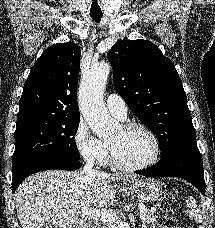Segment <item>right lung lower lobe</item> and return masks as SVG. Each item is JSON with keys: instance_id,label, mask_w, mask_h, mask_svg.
<instances>
[{"instance_id": "98d812e1", "label": "right lung lower lobe", "mask_w": 215, "mask_h": 228, "mask_svg": "<svg viewBox=\"0 0 215 228\" xmlns=\"http://www.w3.org/2000/svg\"><path fill=\"white\" fill-rule=\"evenodd\" d=\"M81 167L79 160L65 159L58 157H37L25 160L13 165L12 168V192H14L19 184L29 175L50 169L76 170Z\"/></svg>"}]
</instances>
